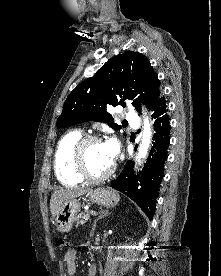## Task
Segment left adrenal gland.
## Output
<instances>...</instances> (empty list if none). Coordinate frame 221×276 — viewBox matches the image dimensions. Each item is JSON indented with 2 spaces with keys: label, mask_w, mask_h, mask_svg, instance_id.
I'll return each mask as SVG.
<instances>
[{
  "label": "left adrenal gland",
  "mask_w": 221,
  "mask_h": 276,
  "mask_svg": "<svg viewBox=\"0 0 221 276\" xmlns=\"http://www.w3.org/2000/svg\"><path fill=\"white\" fill-rule=\"evenodd\" d=\"M110 214V212L108 210H105V211H101V214L99 215V217L94 221V225H93V228H92V232H91V236L93 235L95 229H96V224H97V221L99 219H102L106 216H108Z\"/></svg>",
  "instance_id": "a2214340"
}]
</instances>
